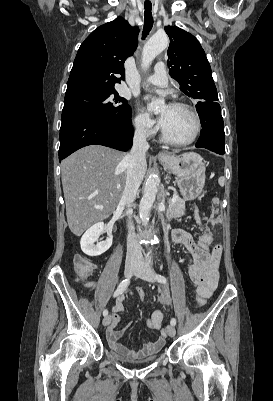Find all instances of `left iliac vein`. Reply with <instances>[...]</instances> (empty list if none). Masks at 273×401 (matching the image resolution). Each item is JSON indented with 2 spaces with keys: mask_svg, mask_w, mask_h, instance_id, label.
Instances as JSON below:
<instances>
[{
  "mask_svg": "<svg viewBox=\"0 0 273 401\" xmlns=\"http://www.w3.org/2000/svg\"><path fill=\"white\" fill-rule=\"evenodd\" d=\"M136 276L149 282H155L153 271L144 263L138 264V269L134 273ZM166 332L170 337H174L176 334L175 327L173 325H167Z\"/></svg>",
  "mask_w": 273,
  "mask_h": 401,
  "instance_id": "4c4485c4",
  "label": "left iliac vein"
}]
</instances>
